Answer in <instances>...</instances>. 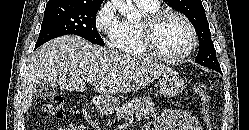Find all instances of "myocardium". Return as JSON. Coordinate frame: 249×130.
<instances>
[{"instance_id": "f54148a6", "label": "myocardium", "mask_w": 249, "mask_h": 130, "mask_svg": "<svg viewBox=\"0 0 249 130\" xmlns=\"http://www.w3.org/2000/svg\"><path fill=\"white\" fill-rule=\"evenodd\" d=\"M168 16H174L182 20L190 33L188 47L182 53L175 56L163 53L157 46L155 39V33L159 23ZM141 32L144 46L149 55L169 63L181 62L189 57L194 51L198 41L197 32L191 20L185 14L172 9H158L157 11L147 14L141 22Z\"/></svg>"}]
</instances>
